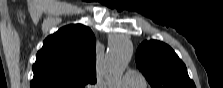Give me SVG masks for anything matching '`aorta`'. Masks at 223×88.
<instances>
[{"label":"aorta","instance_id":"762f6f07","mask_svg":"<svg viewBox=\"0 0 223 88\" xmlns=\"http://www.w3.org/2000/svg\"><path fill=\"white\" fill-rule=\"evenodd\" d=\"M132 53V44L126 39L118 38L109 44L105 58V73L110 84L116 83L121 78Z\"/></svg>","mask_w":223,"mask_h":88}]
</instances>
